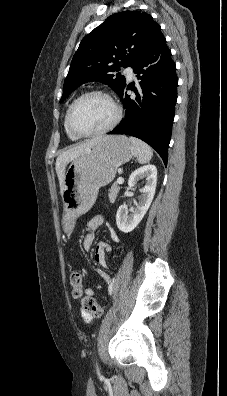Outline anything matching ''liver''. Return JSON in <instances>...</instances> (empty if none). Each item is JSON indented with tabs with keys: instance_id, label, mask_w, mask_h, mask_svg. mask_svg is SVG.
Wrapping results in <instances>:
<instances>
[{
	"instance_id": "obj_1",
	"label": "liver",
	"mask_w": 227,
	"mask_h": 396,
	"mask_svg": "<svg viewBox=\"0 0 227 396\" xmlns=\"http://www.w3.org/2000/svg\"><path fill=\"white\" fill-rule=\"evenodd\" d=\"M100 138H94L91 140H87L81 144H78L74 146L73 148H70L69 150L62 152L57 160H56V173L59 179V184H60V193L61 195L63 194L64 191V177H65V169L66 166L69 162L73 161L76 159L81 153H83L85 150H87L89 147H91L96 141H98Z\"/></svg>"
}]
</instances>
